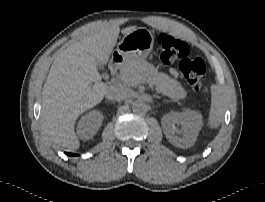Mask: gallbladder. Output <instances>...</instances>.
Instances as JSON below:
<instances>
[{"mask_svg":"<svg viewBox=\"0 0 265 202\" xmlns=\"http://www.w3.org/2000/svg\"><path fill=\"white\" fill-rule=\"evenodd\" d=\"M97 68L100 70H104V65L101 62H97Z\"/></svg>","mask_w":265,"mask_h":202,"instance_id":"obj_1","label":"gallbladder"}]
</instances>
